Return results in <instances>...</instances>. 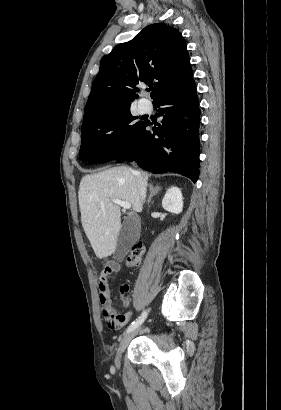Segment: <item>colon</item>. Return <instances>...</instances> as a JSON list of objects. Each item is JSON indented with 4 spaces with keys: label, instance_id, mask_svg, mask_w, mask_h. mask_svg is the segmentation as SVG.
I'll list each match as a JSON object with an SVG mask.
<instances>
[{
    "label": "colon",
    "instance_id": "5ec220e1",
    "mask_svg": "<svg viewBox=\"0 0 281 410\" xmlns=\"http://www.w3.org/2000/svg\"><path fill=\"white\" fill-rule=\"evenodd\" d=\"M145 252V247L142 243H137L133 246L131 252L127 256L126 264L130 267H136L140 264L143 254ZM119 292L121 294H126L128 292L127 285H121L119 287ZM104 318L106 324L111 329H120L122 327V318L120 315H116L114 312L110 310H106L104 313Z\"/></svg>",
    "mask_w": 281,
    "mask_h": 410
}]
</instances>
